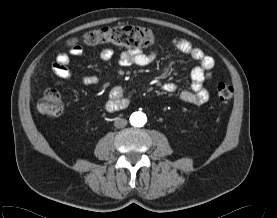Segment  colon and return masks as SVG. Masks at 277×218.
Instances as JSON below:
<instances>
[{
	"mask_svg": "<svg viewBox=\"0 0 277 218\" xmlns=\"http://www.w3.org/2000/svg\"><path fill=\"white\" fill-rule=\"evenodd\" d=\"M82 41L87 45L112 44L118 47L131 49H145L155 42L153 32L140 26L104 27L87 32ZM77 39H72L69 44L75 46ZM217 96L222 102H229L234 94L233 87L220 82L216 86ZM38 110L46 115L57 116L63 111V103L59 92L53 88L47 89L37 104Z\"/></svg>",
	"mask_w": 277,
	"mask_h": 218,
	"instance_id": "1",
	"label": "colon"
}]
</instances>
